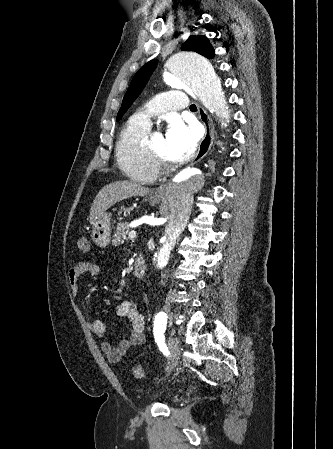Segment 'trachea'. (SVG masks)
<instances>
[{
	"mask_svg": "<svg viewBox=\"0 0 333 449\" xmlns=\"http://www.w3.org/2000/svg\"><path fill=\"white\" fill-rule=\"evenodd\" d=\"M190 110H191V111H196V110H197L196 105H195V104H192V105L190 106Z\"/></svg>",
	"mask_w": 333,
	"mask_h": 449,
	"instance_id": "3493384b",
	"label": "trachea"
}]
</instances>
